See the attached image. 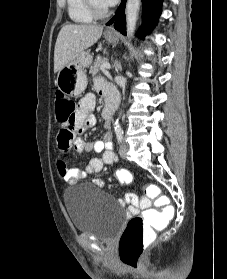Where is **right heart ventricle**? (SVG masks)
<instances>
[{
  "instance_id": "e07e8e85",
  "label": "right heart ventricle",
  "mask_w": 227,
  "mask_h": 279,
  "mask_svg": "<svg viewBox=\"0 0 227 279\" xmlns=\"http://www.w3.org/2000/svg\"><path fill=\"white\" fill-rule=\"evenodd\" d=\"M68 15L76 23H91L94 17L88 12L83 0H67Z\"/></svg>"
}]
</instances>
